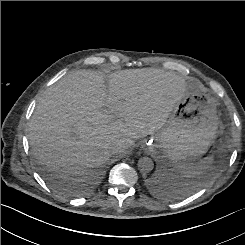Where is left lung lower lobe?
I'll list each match as a JSON object with an SVG mask.
<instances>
[{"label":"left lung lower lobe","instance_id":"left-lung-lower-lobe-1","mask_svg":"<svg viewBox=\"0 0 245 245\" xmlns=\"http://www.w3.org/2000/svg\"><path fill=\"white\" fill-rule=\"evenodd\" d=\"M167 179H169V176L166 174L161 175L160 178L158 177L150 178L147 181V186L152 192L160 194L162 193V185L164 181H167ZM187 190H188L187 184H185L180 180L174 179L168 183V191L171 194H183L187 192Z\"/></svg>","mask_w":245,"mask_h":245}]
</instances>
